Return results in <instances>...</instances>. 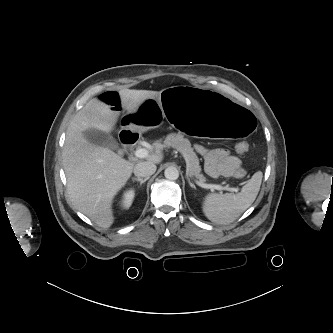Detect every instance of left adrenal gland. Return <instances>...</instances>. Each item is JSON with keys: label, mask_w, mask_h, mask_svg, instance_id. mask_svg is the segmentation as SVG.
Segmentation results:
<instances>
[{"label": "left adrenal gland", "mask_w": 333, "mask_h": 333, "mask_svg": "<svg viewBox=\"0 0 333 333\" xmlns=\"http://www.w3.org/2000/svg\"><path fill=\"white\" fill-rule=\"evenodd\" d=\"M188 182H189V184L192 186V184H191V182H190V179H188Z\"/></svg>", "instance_id": "obj_1"}]
</instances>
